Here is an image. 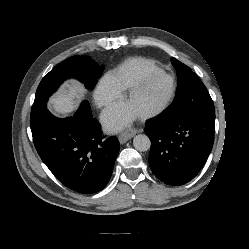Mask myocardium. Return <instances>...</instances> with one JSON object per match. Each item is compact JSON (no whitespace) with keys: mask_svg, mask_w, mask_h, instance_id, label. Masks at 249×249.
Wrapping results in <instances>:
<instances>
[{"mask_svg":"<svg viewBox=\"0 0 249 249\" xmlns=\"http://www.w3.org/2000/svg\"><path fill=\"white\" fill-rule=\"evenodd\" d=\"M157 79L170 80V82H171L170 93H169L168 97L166 98V100L160 106H158L155 109H152L150 111H147L145 113L138 115V117L142 120L150 119V118H154L156 116H159L170 107V105L172 104V102L175 98L176 89H177L176 81H175L174 77L169 75V74H166L164 72L145 76L144 78L139 80L137 83H135L132 87H130L124 96L125 101L131 99L138 92H140L143 88H145L147 85H149L151 82H153Z\"/></svg>","mask_w":249,"mask_h":249,"instance_id":"myocardium-1","label":"myocardium"}]
</instances>
